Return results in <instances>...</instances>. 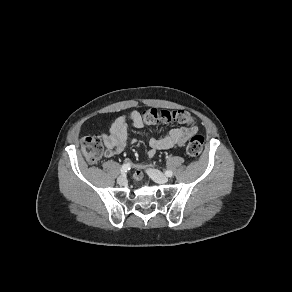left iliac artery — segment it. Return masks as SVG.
Here are the masks:
<instances>
[{"mask_svg": "<svg viewBox=\"0 0 292 292\" xmlns=\"http://www.w3.org/2000/svg\"><path fill=\"white\" fill-rule=\"evenodd\" d=\"M165 175H166L167 177H172L173 173H172V171L167 170V171H165Z\"/></svg>", "mask_w": 292, "mask_h": 292, "instance_id": "left-iliac-artery-1", "label": "left iliac artery"}]
</instances>
